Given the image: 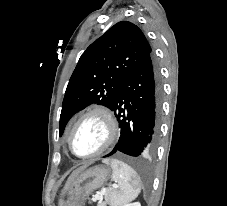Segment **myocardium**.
<instances>
[{"mask_svg": "<svg viewBox=\"0 0 227 206\" xmlns=\"http://www.w3.org/2000/svg\"><path fill=\"white\" fill-rule=\"evenodd\" d=\"M91 116H98L100 117L106 126V138L103 144L96 149L95 151L85 154V155H77L73 152L71 148V137L76 129V127L86 118ZM119 135V128H118V122L116 120V117L114 113L106 106L104 105H95L90 108H88L86 111H84L73 123L71 126L66 139V144L69 152L74 155L77 158H91L95 157L97 155H100L101 153L105 152L107 149H109L117 140Z\"/></svg>", "mask_w": 227, "mask_h": 206, "instance_id": "obj_1", "label": "myocardium"}]
</instances>
